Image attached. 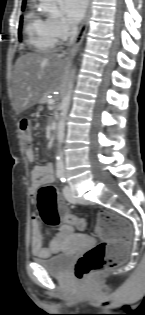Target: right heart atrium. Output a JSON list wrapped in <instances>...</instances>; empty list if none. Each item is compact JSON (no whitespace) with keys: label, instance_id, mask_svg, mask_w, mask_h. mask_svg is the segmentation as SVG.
<instances>
[{"label":"right heart atrium","instance_id":"obj_1","mask_svg":"<svg viewBox=\"0 0 145 315\" xmlns=\"http://www.w3.org/2000/svg\"><path fill=\"white\" fill-rule=\"evenodd\" d=\"M48 24L57 40H65L73 33V28L62 17L50 16Z\"/></svg>","mask_w":145,"mask_h":315}]
</instances>
